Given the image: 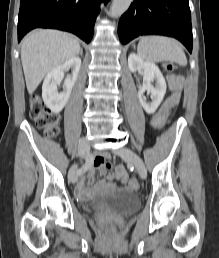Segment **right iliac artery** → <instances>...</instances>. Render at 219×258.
Segmentation results:
<instances>
[{"mask_svg":"<svg viewBox=\"0 0 219 258\" xmlns=\"http://www.w3.org/2000/svg\"><path fill=\"white\" fill-rule=\"evenodd\" d=\"M92 159L87 156L85 164L77 171V175L85 173L91 167Z\"/></svg>","mask_w":219,"mask_h":258,"instance_id":"1","label":"right iliac artery"}]
</instances>
